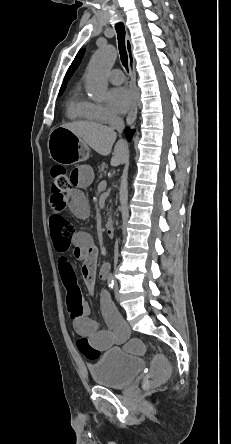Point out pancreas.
Returning <instances> with one entry per match:
<instances>
[{
	"label": "pancreas",
	"instance_id": "obj_1",
	"mask_svg": "<svg viewBox=\"0 0 231 444\" xmlns=\"http://www.w3.org/2000/svg\"><path fill=\"white\" fill-rule=\"evenodd\" d=\"M97 168H98L99 178H101L106 173V169L108 168V165L105 162H102L100 165H98Z\"/></svg>",
	"mask_w": 231,
	"mask_h": 444
}]
</instances>
